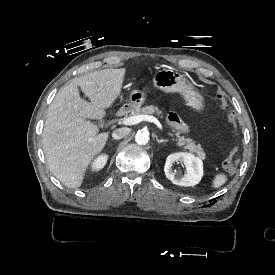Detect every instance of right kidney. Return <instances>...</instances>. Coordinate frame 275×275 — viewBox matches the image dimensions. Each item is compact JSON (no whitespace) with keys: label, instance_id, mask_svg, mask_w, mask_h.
<instances>
[{"label":"right kidney","instance_id":"ca27d5eb","mask_svg":"<svg viewBox=\"0 0 275 275\" xmlns=\"http://www.w3.org/2000/svg\"><path fill=\"white\" fill-rule=\"evenodd\" d=\"M106 161H107V157H106V156H101V157H99V158L96 160V162L94 163L93 169L99 170V169L103 168L104 165L106 164Z\"/></svg>","mask_w":275,"mask_h":275}]
</instances>
